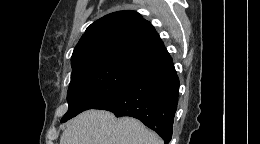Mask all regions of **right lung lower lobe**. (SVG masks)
<instances>
[{
	"mask_svg": "<svg viewBox=\"0 0 260 144\" xmlns=\"http://www.w3.org/2000/svg\"><path fill=\"white\" fill-rule=\"evenodd\" d=\"M179 79L171 56L140 67L114 94L93 109L131 116L156 131L168 144L178 103Z\"/></svg>",
	"mask_w": 260,
	"mask_h": 144,
	"instance_id": "98d812e1",
	"label": "right lung lower lobe"
}]
</instances>
